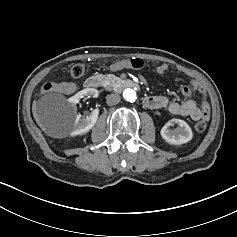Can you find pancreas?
Segmentation results:
<instances>
[{
    "label": "pancreas",
    "mask_w": 237,
    "mask_h": 237,
    "mask_svg": "<svg viewBox=\"0 0 237 237\" xmlns=\"http://www.w3.org/2000/svg\"><path fill=\"white\" fill-rule=\"evenodd\" d=\"M102 83L107 90H112L120 86L121 79L113 74H106L103 76Z\"/></svg>",
    "instance_id": "pancreas-1"
}]
</instances>
